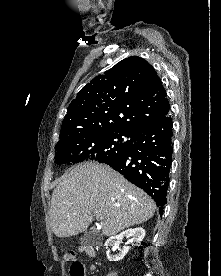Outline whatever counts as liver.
Here are the masks:
<instances>
[{"instance_id":"liver-1","label":"liver","mask_w":221,"mask_h":276,"mask_svg":"<svg viewBox=\"0 0 221 276\" xmlns=\"http://www.w3.org/2000/svg\"><path fill=\"white\" fill-rule=\"evenodd\" d=\"M155 202L109 166L85 162L73 167L54 189L51 228L57 237L86 231L102 215V234L113 236L153 217Z\"/></svg>"}]
</instances>
